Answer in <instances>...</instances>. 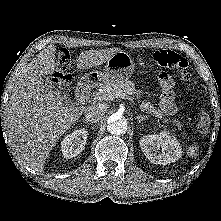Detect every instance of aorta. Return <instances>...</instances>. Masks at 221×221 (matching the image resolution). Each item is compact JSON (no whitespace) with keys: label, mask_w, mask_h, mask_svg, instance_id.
I'll use <instances>...</instances> for the list:
<instances>
[{"label":"aorta","mask_w":221,"mask_h":221,"mask_svg":"<svg viewBox=\"0 0 221 221\" xmlns=\"http://www.w3.org/2000/svg\"><path fill=\"white\" fill-rule=\"evenodd\" d=\"M107 130L113 135L124 134L128 129L127 120L120 114H112L107 121Z\"/></svg>","instance_id":"762f6f07"}]
</instances>
